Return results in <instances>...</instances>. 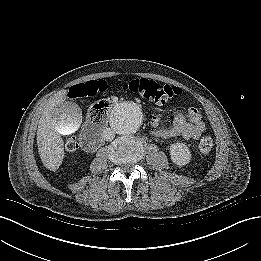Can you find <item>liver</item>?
<instances>
[{
	"instance_id": "liver-1",
	"label": "liver",
	"mask_w": 261,
	"mask_h": 261,
	"mask_svg": "<svg viewBox=\"0 0 261 261\" xmlns=\"http://www.w3.org/2000/svg\"><path fill=\"white\" fill-rule=\"evenodd\" d=\"M67 90L62 89L45 103L37 128L38 152L43 165L56 171L62 164L64 158V141L61 134H70L77 130L82 120V112L78 107V113L73 120L69 130L62 122L54 116L56 106L65 102Z\"/></svg>"
}]
</instances>
